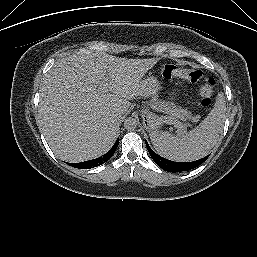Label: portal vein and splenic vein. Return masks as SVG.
I'll use <instances>...</instances> for the list:
<instances>
[{
	"instance_id": "18ae733b",
	"label": "portal vein and splenic vein",
	"mask_w": 257,
	"mask_h": 257,
	"mask_svg": "<svg viewBox=\"0 0 257 257\" xmlns=\"http://www.w3.org/2000/svg\"><path fill=\"white\" fill-rule=\"evenodd\" d=\"M98 92H99V93H107V92H108V86H107V84H106V83H102V84L99 86V88H98ZM168 122H169L170 124H174V126L178 129V131H182V130H184V129L187 127L186 124H183L182 122H180V121H178V120L173 121V120H170V119H169Z\"/></svg>"
}]
</instances>
